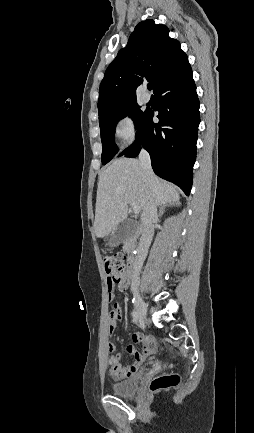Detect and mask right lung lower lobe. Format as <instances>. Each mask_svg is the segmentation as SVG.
<instances>
[{
  "label": "right lung lower lobe",
  "instance_id": "98d812e1",
  "mask_svg": "<svg viewBox=\"0 0 254 433\" xmlns=\"http://www.w3.org/2000/svg\"><path fill=\"white\" fill-rule=\"evenodd\" d=\"M154 94L159 123L153 122L154 112L147 110L136 128V141L121 154L136 157L143 146L150 154L155 174L189 195L200 116L188 57Z\"/></svg>",
  "mask_w": 254,
  "mask_h": 433
}]
</instances>
